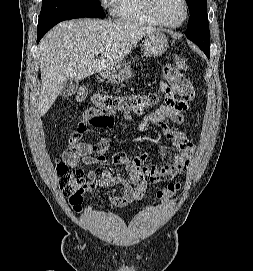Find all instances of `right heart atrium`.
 I'll list each match as a JSON object with an SVG mask.
<instances>
[{
  "label": "right heart atrium",
  "instance_id": "right-heart-atrium-1",
  "mask_svg": "<svg viewBox=\"0 0 253 271\" xmlns=\"http://www.w3.org/2000/svg\"><path fill=\"white\" fill-rule=\"evenodd\" d=\"M106 7H113L115 0H101Z\"/></svg>",
  "mask_w": 253,
  "mask_h": 271
}]
</instances>
